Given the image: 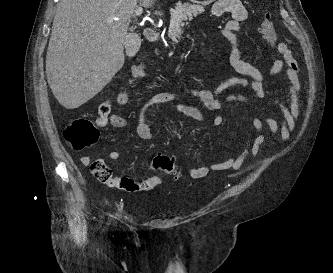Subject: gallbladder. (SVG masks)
I'll return each instance as SVG.
<instances>
[{"label":"gallbladder","mask_w":333,"mask_h":273,"mask_svg":"<svg viewBox=\"0 0 333 273\" xmlns=\"http://www.w3.org/2000/svg\"><path fill=\"white\" fill-rule=\"evenodd\" d=\"M140 44H141V39L139 35L137 34L129 35L125 42V49L127 55L129 57H133L137 53Z\"/></svg>","instance_id":"bac80fb5"}]
</instances>
